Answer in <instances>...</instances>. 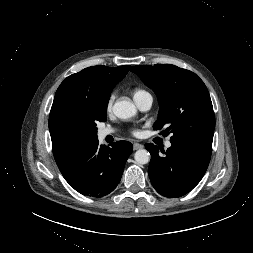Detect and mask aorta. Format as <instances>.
I'll use <instances>...</instances> for the list:
<instances>
[{"mask_svg": "<svg viewBox=\"0 0 253 253\" xmlns=\"http://www.w3.org/2000/svg\"><path fill=\"white\" fill-rule=\"evenodd\" d=\"M114 114L120 119H129L136 115L137 109L130 100L117 101L113 106ZM138 164H147L150 161V153L146 149H139L134 154Z\"/></svg>", "mask_w": 253, "mask_h": 253, "instance_id": "1", "label": "aorta"}]
</instances>
